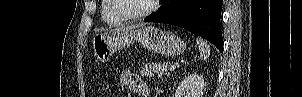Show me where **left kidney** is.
I'll return each mask as SVG.
<instances>
[{
	"instance_id": "obj_1",
	"label": "left kidney",
	"mask_w": 302,
	"mask_h": 97,
	"mask_svg": "<svg viewBox=\"0 0 302 97\" xmlns=\"http://www.w3.org/2000/svg\"><path fill=\"white\" fill-rule=\"evenodd\" d=\"M206 83L202 75L192 73L185 77L175 92V97H202Z\"/></svg>"
}]
</instances>
